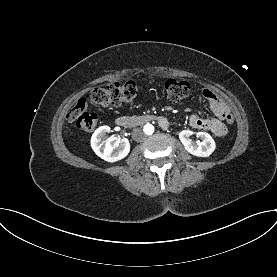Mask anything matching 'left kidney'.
<instances>
[{
  "instance_id": "left-kidney-1",
  "label": "left kidney",
  "mask_w": 277,
  "mask_h": 277,
  "mask_svg": "<svg viewBox=\"0 0 277 277\" xmlns=\"http://www.w3.org/2000/svg\"><path fill=\"white\" fill-rule=\"evenodd\" d=\"M191 134L192 132L189 130H183L179 134V139L187 152L197 157H208L214 152L216 144L208 133H197V136L202 140L201 142L192 141L190 139Z\"/></svg>"
}]
</instances>
